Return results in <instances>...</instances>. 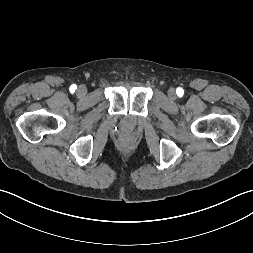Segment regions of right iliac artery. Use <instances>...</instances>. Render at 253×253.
<instances>
[{"instance_id": "82829eb1", "label": "right iliac artery", "mask_w": 253, "mask_h": 253, "mask_svg": "<svg viewBox=\"0 0 253 253\" xmlns=\"http://www.w3.org/2000/svg\"><path fill=\"white\" fill-rule=\"evenodd\" d=\"M76 88H77L76 85H74V84L71 85V86H70V92H71V93L75 92Z\"/></svg>"}]
</instances>
